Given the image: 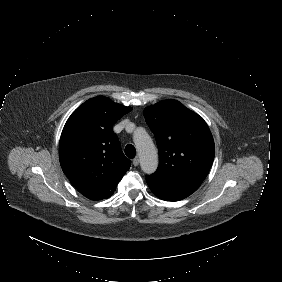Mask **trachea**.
I'll list each match as a JSON object with an SVG mask.
<instances>
[{
  "instance_id": "trachea-1",
  "label": "trachea",
  "mask_w": 282,
  "mask_h": 282,
  "mask_svg": "<svg viewBox=\"0 0 282 282\" xmlns=\"http://www.w3.org/2000/svg\"><path fill=\"white\" fill-rule=\"evenodd\" d=\"M125 154L128 158L133 159L136 155V149L132 144H128L125 147Z\"/></svg>"
}]
</instances>
